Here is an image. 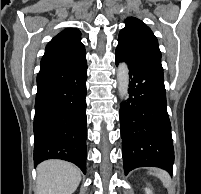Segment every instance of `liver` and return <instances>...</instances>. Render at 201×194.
<instances>
[{"instance_id": "liver-1", "label": "liver", "mask_w": 201, "mask_h": 194, "mask_svg": "<svg viewBox=\"0 0 201 194\" xmlns=\"http://www.w3.org/2000/svg\"><path fill=\"white\" fill-rule=\"evenodd\" d=\"M81 181V171L62 160L44 161L37 167L36 194H73Z\"/></svg>"}]
</instances>
